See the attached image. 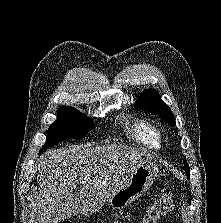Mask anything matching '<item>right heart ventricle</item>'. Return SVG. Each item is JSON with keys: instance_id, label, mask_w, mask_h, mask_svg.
<instances>
[{"instance_id": "e07e8e85", "label": "right heart ventricle", "mask_w": 221, "mask_h": 223, "mask_svg": "<svg viewBox=\"0 0 221 223\" xmlns=\"http://www.w3.org/2000/svg\"><path fill=\"white\" fill-rule=\"evenodd\" d=\"M128 133L138 142L151 147L160 146V133L158 129L144 119L136 118L132 120L128 127Z\"/></svg>"}]
</instances>
